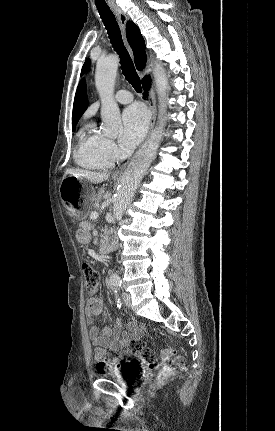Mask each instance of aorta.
I'll return each instance as SVG.
<instances>
[{
  "mask_svg": "<svg viewBox=\"0 0 275 431\" xmlns=\"http://www.w3.org/2000/svg\"><path fill=\"white\" fill-rule=\"evenodd\" d=\"M118 63V58L115 55H109L97 62L95 73V84L102 103L101 118L103 132L108 137H115L122 127L120 111L113 97ZM154 78L160 103L159 124L151 134L150 138L129 163L123 174L113 203V215L115 218L122 217L134 196L138 184L154 160L162 139V132L165 125L163 114L166 110L165 100L168 88V78L162 65L157 62H155L154 65ZM110 281H119V276L117 274H112L110 276Z\"/></svg>",
  "mask_w": 275,
  "mask_h": 431,
  "instance_id": "1",
  "label": "aorta"
}]
</instances>
